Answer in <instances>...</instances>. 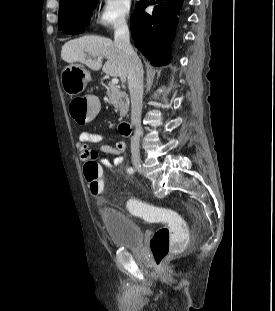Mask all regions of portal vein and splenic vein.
Wrapping results in <instances>:
<instances>
[{
    "mask_svg": "<svg viewBox=\"0 0 275 311\" xmlns=\"http://www.w3.org/2000/svg\"><path fill=\"white\" fill-rule=\"evenodd\" d=\"M98 60H100V58H98ZM119 82L118 78L117 77H114L112 80H111V84L113 85H117Z\"/></svg>",
    "mask_w": 275,
    "mask_h": 311,
    "instance_id": "1",
    "label": "portal vein and splenic vein"
}]
</instances>
